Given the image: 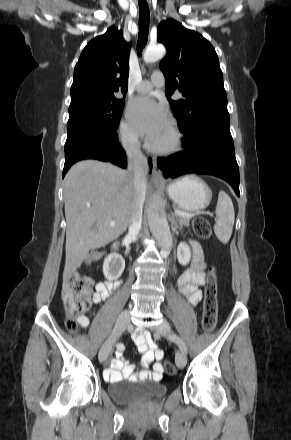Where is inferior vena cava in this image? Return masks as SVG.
Wrapping results in <instances>:
<instances>
[{
	"mask_svg": "<svg viewBox=\"0 0 291 440\" xmlns=\"http://www.w3.org/2000/svg\"><path fill=\"white\" fill-rule=\"evenodd\" d=\"M128 172L133 176L134 198L131 209L128 234L136 239L142 225V211L146 194L147 158L142 154L140 145L134 141L127 150Z\"/></svg>",
	"mask_w": 291,
	"mask_h": 440,
	"instance_id": "602c4592",
	"label": "inferior vena cava"
}]
</instances>
